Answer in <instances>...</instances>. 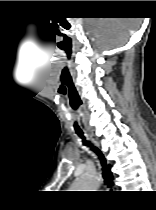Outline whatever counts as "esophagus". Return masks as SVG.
Listing matches in <instances>:
<instances>
[{
	"instance_id": "34e87169",
	"label": "esophagus",
	"mask_w": 156,
	"mask_h": 210,
	"mask_svg": "<svg viewBox=\"0 0 156 210\" xmlns=\"http://www.w3.org/2000/svg\"><path fill=\"white\" fill-rule=\"evenodd\" d=\"M90 137H91V140L93 141V143L98 147L99 146V140H98V138L94 134H90ZM109 164H110L109 161H107V165H109ZM114 179H115L114 176H112L110 178L111 189H114L115 188Z\"/></svg>"
}]
</instances>
